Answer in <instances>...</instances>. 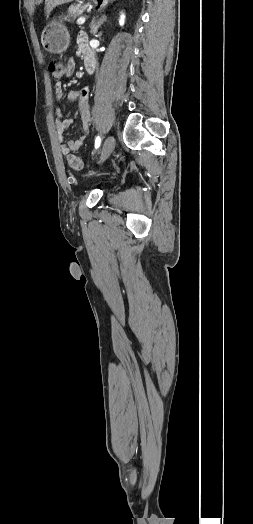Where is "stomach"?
<instances>
[{"instance_id": "stomach-1", "label": "stomach", "mask_w": 253, "mask_h": 524, "mask_svg": "<svg viewBox=\"0 0 253 524\" xmlns=\"http://www.w3.org/2000/svg\"><path fill=\"white\" fill-rule=\"evenodd\" d=\"M95 4L102 0H92ZM70 36L67 28L59 21H52L42 32L41 42L50 53L60 54L69 46Z\"/></svg>"}]
</instances>
